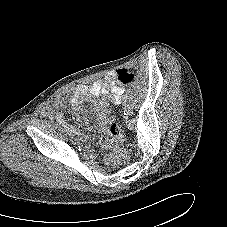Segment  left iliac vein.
Masks as SVG:
<instances>
[{
	"instance_id": "obj_1",
	"label": "left iliac vein",
	"mask_w": 227,
	"mask_h": 227,
	"mask_svg": "<svg viewBox=\"0 0 227 227\" xmlns=\"http://www.w3.org/2000/svg\"><path fill=\"white\" fill-rule=\"evenodd\" d=\"M124 109H125L127 115L133 114V108L130 104H128V103L124 104Z\"/></svg>"
}]
</instances>
